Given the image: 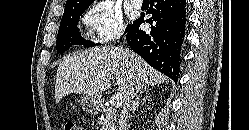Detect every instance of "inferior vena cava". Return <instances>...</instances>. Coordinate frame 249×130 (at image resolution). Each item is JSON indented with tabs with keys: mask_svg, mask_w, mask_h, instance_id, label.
<instances>
[{
	"mask_svg": "<svg viewBox=\"0 0 249 130\" xmlns=\"http://www.w3.org/2000/svg\"><path fill=\"white\" fill-rule=\"evenodd\" d=\"M138 92V88L135 86H132L125 97L123 101V109L120 114L119 119V130H126L127 128V120H128V110L130 109V104L134 97L136 96V93Z\"/></svg>",
	"mask_w": 249,
	"mask_h": 130,
	"instance_id": "1",
	"label": "inferior vena cava"
}]
</instances>
